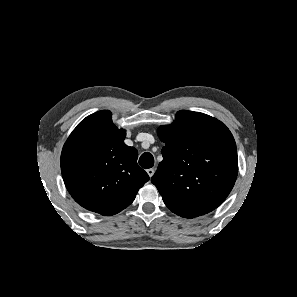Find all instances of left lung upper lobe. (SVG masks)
I'll list each match as a JSON object with an SVG mask.
<instances>
[{
  "mask_svg": "<svg viewBox=\"0 0 297 297\" xmlns=\"http://www.w3.org/2000/svg\"><path fill=\"white\" fill-rule=\"evenodd\" d=\"M165 143L151 182L166 206L184 218L217 208L231 192L238 174L235 140L230 130L209 115L181 110L175 122L161 126Z\"/></svg>",
  "mask_w": 297,
  "mask_h": 297,
  "instance_id": "left-lung-upper-lobe-1",
  "label": "left lung upper lobe"
}]
</instances>
